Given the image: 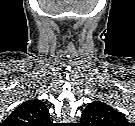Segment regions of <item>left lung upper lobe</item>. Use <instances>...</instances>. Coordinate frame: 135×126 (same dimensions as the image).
<instances>
[{"label": "left lung upper lobe", "mask_w": 135, "mask_h": 126, "mask_svg": "<svg viewBox=\"0 0 135 126\" xmlns=\"http://www.w3.org/2000/svg\"><path fill=\"white\" fill-rule=\"evenodd\" d=\"M85 126H124L126 119L121 112L104 102L94 101L81 114Z\"/></svg>", "instance_id": "1"}]
</instances>
